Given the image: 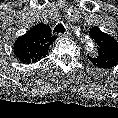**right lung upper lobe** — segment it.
<instances>
[{
  "label": "right lung upper lobe",
  "instance_id": "right-lung-upper-lobe-1",
  "mask_svg": "<svg viewBox=\"0 0 118 118\" xmlns=\"http://www.w3.org/2000/svg\"><path fill=\"white\" fill-rule=\"evenodd\" d=\"M57 39L48 25L39 23L23 36L17 38L13 51L22 63H33L45 57L49 46Z\"/></svg>",
  "mask_w": 118,
  "mask_h": 118
}]
</instances>
